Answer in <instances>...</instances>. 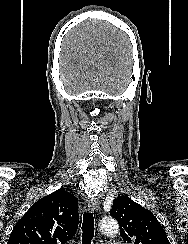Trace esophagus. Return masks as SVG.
I'll use <instances>...</instances> for the list:
<instances>
[{"label": "esophagus", "mask_w": 188, "mask_h": 244, "mask_svg": "<svg viewBox=\"0 0 188 244\" xmlns=\"http://www.w3.org/2000/svg\"><path fill=\"white\" fill-rule=\"evenodd\" d=\"M88 207H89V209H91L95 213H98V211L100 209V201H99V199H97V198L90 199L88 201Z\"/></svg>", "instance_id": "1"}]
</instances>
